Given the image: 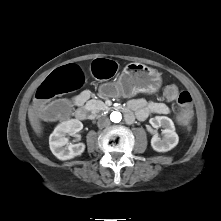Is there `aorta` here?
Here are the masks:
<instances>
[{"instance_id": "obj_1", "label": "aorta", "mask_w": 221, "mask_h": 221, "mask_svg": "<svg viewBox=\"0 0 221 221\" xmlns=\"http://www.w3.org/2000/svg\"><path fill=\"white\" fill-rule=\"evenodd\" d=\"M110 119L114 123H119L122 120V114L118 111H113L110 115Z\"/></svg>"}]
</instances>
